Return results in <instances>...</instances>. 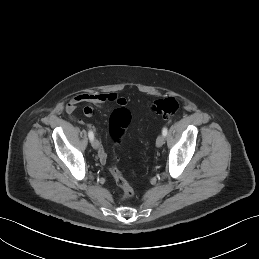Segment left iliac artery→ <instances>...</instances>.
<instances>
[{"instance_id": "obj_1", "label": "left iliac artery", "mask_w": 259, "mask_h": 259, "mask_svg": "<svg viewBox=\"0 0 259 259\" xmlns=\"http://www.w3.org/2000/svg\"><path fill=\"white\" fill-rule=\"evenodd\" d=\"M167 132H168L167 128L164 127V128L162 129V135H163L164 137H166V136H167Z\"/></svg>"}]
</instances>
